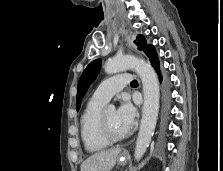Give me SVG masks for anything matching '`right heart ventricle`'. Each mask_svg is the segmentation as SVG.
<instances>
[{
    "label": "right heart ventricle",
    "instance_id": "obj_1",
    "mask_svg": "<svg viewBox=\"0 0 223 171\" xmlns=\"http://www.w3.org/2000/svg\"><path fill=\"white\" fill-rule=\"evenodd\" d=\"M104 105L105 102L91 98L80 117V136L89 153H98L110 145L101 137L98 126Z\"/></svg>",
    "mask_w": 223,
    "mask_h": 171
}]
</instances>
